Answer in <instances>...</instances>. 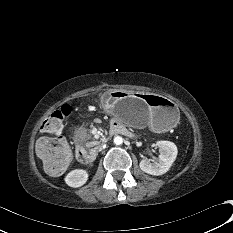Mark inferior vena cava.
<instances>
[{
	"mask_svg": "<svg viewBox=\"0 0 233 233\" xmlns=\"http://www.w3.org/2000/svg\"><path fill=\"white\" fill-rule=\"evenodd\" d=\"M98 150L101 151V150H102V146H100V147L98 148Z\"/></svg>",
	"mask_w": 233,
	"mask_h": 233,
	"instance_id": "inferior-vena-cava-1",
	"label": "inferior vena cava"
}]
</instances>
